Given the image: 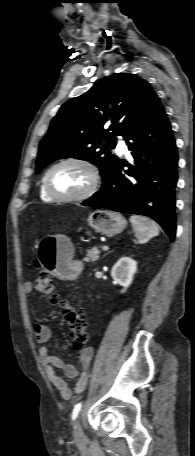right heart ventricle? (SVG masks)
Returning <instances> with one entry per match:
<instances>
[{
	"label": "right heart ventricle",
	"mask_w": 195,
	"mask_h": 456,
	"mask_svg": "<svg viewBox=\"0 0 195 456\" xmlns=\"http://www.w3.org/2000/svg\"><path fill=\"white\" fill-rule=\"evenodd\" d=\"M39 196H40V198H41L43 201H47V202H48V201H52V200H53L52 198H50V197L46 194L42 182L40 183V186H39Z\"/></svg>",
	"instance_id": "obj_1"
}]
</instances>
